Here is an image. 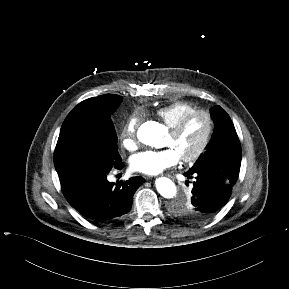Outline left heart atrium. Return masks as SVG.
I'll return each instance as SVG.
<instances>
[{
	"instance_id": "obj_1",
	"label": "left heart atrium",
	"mask_w": 289,
	"mask_h": 289,
	"mask_svg": "<svg viewBox=\"0 0 289 289\" xmlns=\"http://www.w3.org/2000/svg\"><path fill=\"white\" fill-rule=\"evenodd\" d=\"M180 160L179 155L172 147L161 150H146L131 157L132 170L146 174L157 175L165 169L175 166Z\"/></svg>"
}]
</instances>
